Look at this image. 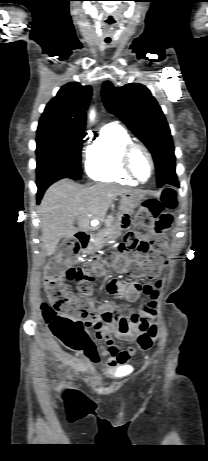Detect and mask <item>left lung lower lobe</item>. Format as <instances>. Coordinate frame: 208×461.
<instances>
[{
  "mask_svg": "<svg viewBox=\"0 0 208 461\" xmlns=\"http://www.w3.org/2000/svg\"><path fill=\"white\" fill-rule=\"evenodd\" d=\"M164 184H171V185H174V186H179V183H178L176 177H173V178H171V179L165 181ZM164 184H163V185H164ZM160 187H161V186H160Z\"/></svg>",
  "mask_w": 208,
  "mask_h": 461,
  "instance_id": "0a47b994",
  "label": "left lung lower lobe"
}]
</instances>
